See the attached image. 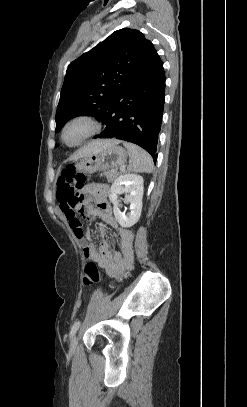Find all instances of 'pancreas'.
Wrapping results in <instances>:
<instances>
[{
    "label": "pancreas",
    "instance_id": "pancreas-1",
    "mask_svg": "<svg viewBox=\"0 0 247 407\" xmlns=\"http://www.w3.org/2000/svg\"><path fill=\"white\" fill-rule=\"evenodd\" d=\"M118 174L119 173L116 170H108L103 172L101 176H105L108 182H113L117 178Z\"/></svg>",
    "mask_w": 247,
    "mask_h": 407
}]
</instances>
